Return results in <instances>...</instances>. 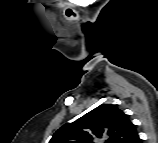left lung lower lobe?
Wrapping results in <instances>:
<instances>
[{
  "label": "left lung lower lobe",
  "mask_w": 158,
  "mask_h": 143,
  "mask_svg": "<svg viewBox=\"0 0 158 143\" xmlns=\"http://www.w3.org/2000/svg\"><path fill=\"white\" fill-rule=\"evenodd\" d=\"M140 139H138L137 143H139Z\"/></svg>",
  "instance_id": "0a47b994"
}]
</instances>
